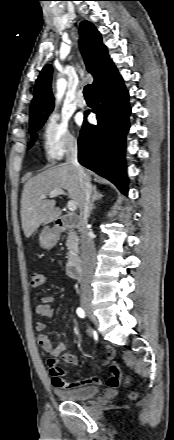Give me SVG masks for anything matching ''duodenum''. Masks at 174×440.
I'll use <instances>...</instances> for the list:
<instances>
[{"label":"duodenum","instance_id":"1","mask_svg":"<svg viewBox=\"0 0 174 440\" xmlns=\"http://www.w3.org/2000/svg\"><path fill=\"white\" fill-rule=\"evenodd\" d=\"M56 225L59 231H65L70 228H79L83 225V220L78 215H64L57 219ZM68 271L74 278H81L83 267L79 258H72L68 265Z\"/></svg>","mask_w":174,"mask_h":440}]
</instances>
